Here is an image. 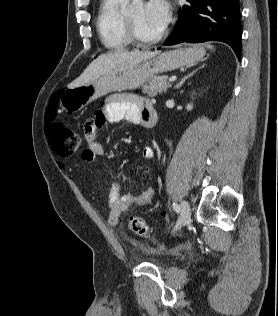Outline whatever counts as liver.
Wrapping results in <instances>:
<instances>
[{
    "instance_id": "obj_1",
    "label": "liver",
    "mask_w": 278,
    "mask_h": 316,
    "mask_svg": "<svg viewBox=\"0 0 278 316\" xmlns=\"http://www.w3.org/2000/svg\"><path fill=\"white\" fill-rule=\"evenodd\" d=\"M159 51H115L100 55L85 71L67 87L73 88L85 85L102 76L109 75L129 66L140 64L158 55Z\"/></svg>"
}]
</instances>
